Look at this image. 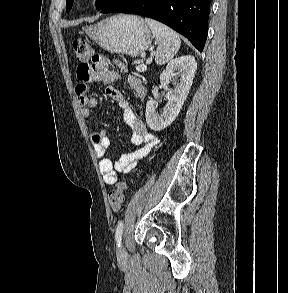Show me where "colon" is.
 Wrapping results in <instances>:
<instances>
[{
  "label": "colon",
  "instance_id": "5ec220e1",
  "mask_svg": "<svg viewBox=\"0 0 288 293\" xmlns=\"http://www.w3.org/2000/svg\"><path fill=\"white\" fill-rule=\"evenodd\" d=\"M73 49L76 59L80 64L88 65V62L94 57L93 47L89 42L83 39H76L73 42ZM131 179L121 181L117 187L109 194V204L114 211L121 210L124 202V191Z\"/></svg>",
  "mask_w": 288,
  "mask_h": 293
}]
</instances>
